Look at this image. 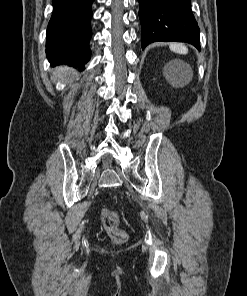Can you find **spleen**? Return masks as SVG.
Here are the masks:
<instances>
[{
    "label": "spleen",
    "instance_id": "1",
    "mask_svg": "<svg viewBox=\"0 0 247 296\" xmlns=\"http://www.w3.org/2000/svg\"><path fill=\"white\" fill-rule=\"evenodd\" d=\"M169 47L175 53L186 54L188 52V49L180 43H171ZM188 79L189 78H187V80ZM187 80H185V81H187Z\"/></svg>",
    "mask_w": 247,
    "mask_h": 296
}]
</instances>
